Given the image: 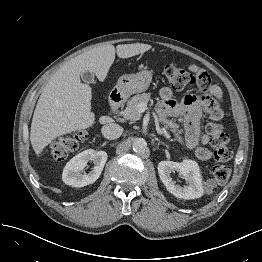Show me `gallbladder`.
Returning a JSON list of instances; mask_svg holds the SVG:
<instances>
[{"mask_svg": "<svg viewBox=\"0 0 262 262\" xmlns=\"http://www.w3.org/2000/svg\"><path fill=\"white\" fill-rule=\"evenodd\" d=\"M81 78L85 83H93L94 82V74L92 72L86 71L84 73L81 74Z\"/></svg>", "mask_w": 262, "mask_h": 262, "instance_id": "1", "label": "gallbladder"}]
</instances>
